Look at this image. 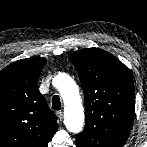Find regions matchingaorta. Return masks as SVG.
<instances>
[{"label":"aorta","instance_id":"aorta-1","mask_svg":"<svg viewBox=\"0 0 147 147\" xmlns=\"http://www.w3.org/2000/svg\"><path fill=\"white\" fill-rule=\"evenodd\" d=\"M64 102V123L73 133H79L84 125V110L79 89L75 81L65 73H59L53 80Z\"/></svg>","mask_w":147,"mask_h":147}]
</instances>
